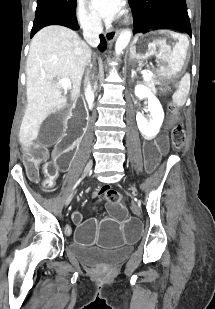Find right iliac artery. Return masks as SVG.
<instances>
[{
    "label": "right iliac artery",
    "mask_w": 215,
    "mask_h": 309,
    "mask_svg": "<svg viewBox=\"0 0 215 309\" xmlns=\"http://www.w3.org/2000/svg\"><path fill=\"white\" fill-rule=\"evenodd\" d=\"M80 181H81V179H79V180L77 181V183L75 184V186L73 187V189H75V187L80 183Z\"/></svg>",
    "instance_id": "1"
}]
</instances>
